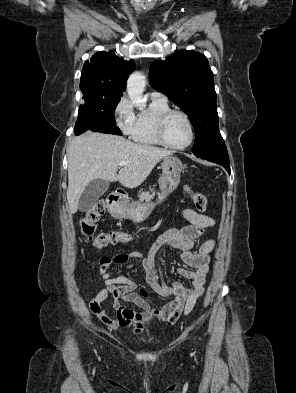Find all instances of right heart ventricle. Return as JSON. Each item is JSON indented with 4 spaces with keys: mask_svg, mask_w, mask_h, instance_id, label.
Returning <instances> with one entry per match:
<instances>
[{
    "mask_svg": "<svg viewBox=\"0 0 296 393\" xmlns=\"http://www.w3.org/2000/svg\"><path fill=\"white\" fill-rule=\"evenodd\" d=\"M168 110V102L151 98L148 108L137 115L132 136L134 141L145 146L162 145L157 137V123L160 116Z\"/></svg>",
    "mask_w": 296,
    "mask_h": 393,
    "instance_id": "1",
    "label": "right heart ventricle"
}]
</instances>
